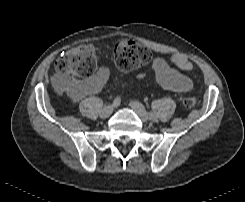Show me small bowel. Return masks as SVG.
Masks as SVG:
<instances>
[{
    "mask_svg": "<svg viewBox=\"0 0 245 202\" xmlns=\"http://www.w3.org/2000/svg\"><path fill=\"white\" fill-rule=\"evenodd\" d=\"M170 60L176 68L171 66L164 59L156 58L147 70L138 72L136 78L144 79L152 77L162 87L170 91L176 93L188 92L193 85L192 79L178 69L188 70L191 68V64L178 52L172 53ZM109 77L110 71L108 68H99L97 72L86 81L75 83V89L67 94L68 99L71 102H77L84 96L102 91L107 84Z\"/></svg>",
    "mask_w": 245,
    "mask_h": 202,
    "instance_id": "1",
    "label": "small bowel"
}]
</instances>
